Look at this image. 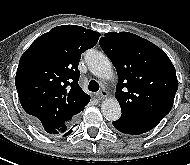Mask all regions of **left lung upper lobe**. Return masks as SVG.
Masks as SVG:
<instances>
[{
    "mask_svg": "<svg viewBox=\"0 0 190 165\" xmlns=\"http://www.w3.org/2000/svg\"><path fill=\"white\" fill-rule=\"evenodd\" d=\"M117 70L115 97L122 114L161 121L178 89L175 67L166 53L129 32H109L99 41Z\"/></svg>",
    "mask_w": 190,
    "mask_h": 165,
    "instance_id": "1",
    "label": "left lung upper lobe"
}]
</instances>
